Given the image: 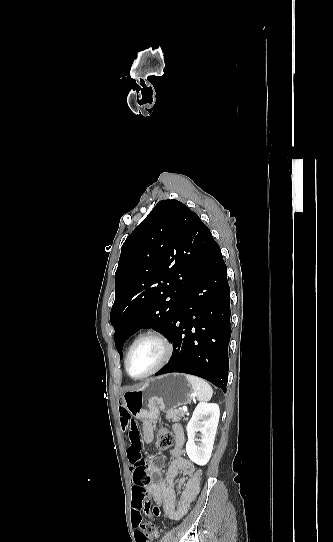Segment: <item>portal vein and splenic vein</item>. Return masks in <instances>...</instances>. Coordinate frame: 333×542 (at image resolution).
<instances>
[{"label":"portal vein and splenic vein","instance_id":"1","mask_svg":"<svg viewBox=\"0 0 333 542\" xmlns=\"http://www.w3.org/2000/svg\"><path fill=\"white\" fill-rule=\"evenodd\" d=\"M182 410H183V412H188L187 406H183Z\"/></svg>","mask_w":333,"mask_h":542}]
</instances>
